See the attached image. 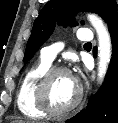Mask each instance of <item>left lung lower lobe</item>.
Returning <instances> with one entry per match:
<instances>
[{
    "mask_svg": "<svg viewBox=\"0 0 118 123\" xmlns=\"http://www.w3.org/2000/svg\"><path fill=\"white\" fill-rule=\"evenodd\" d=\"M107 24L112 40L113 58L103 86L90 98L86 109L66 123H118V14ZM93 52L96 56V48Z\"/></svg>",
    "mask_w": 118,
    "mask_h": 123,
    "instance_id": "1",
    "label": "left lung lower lobe"
}]
</instances>
